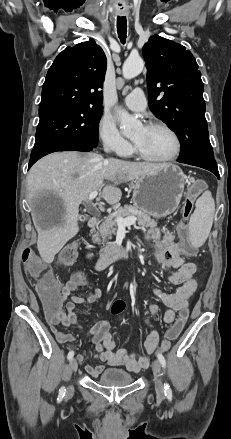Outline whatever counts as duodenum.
<instances>
[{
  "mask_svg": "<svg viewBox=\"0 0 231 439\" xmlns=\"http://www.w3.org/2000/svg\"><path fill=\"white\" fill-rule=\"evenodd\" d=\"M100 224V219L98 217H91L88 221V226L91 230L96 229ZM90 259L93 255L88 254ZM131 257V249L126 246H113L107 249L100 258L94 262V268L96 270H103L115 261L121 259H128Z\"/></svg>",
  "mask_w": 231,
  "mask_h": 439,
  "instance_id": "duodenum-1",
  "label": "duodenum"
}]
</instances>
